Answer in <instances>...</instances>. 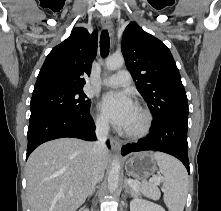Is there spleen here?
<instances>
[{
    "instance_id": "3e777b00",
    "label": "spleen",
    "mask_w": 221,
    "mask_h": 211,
    "mask_svg": "<svg viewBox=\"0 0 221 211\" xmlns=\"http://www.w3.org/2000/svg\"><path fill=\"white\" fill-rule=\"evenodd\" d=\"M159 171L163 175L164 202L170 211H183L188 193V174L185 167L177 159L155 152L153 154ZM141 191L154 200L160 198V190L153 181H143Z\"/></svg>"
}]
</instances>
